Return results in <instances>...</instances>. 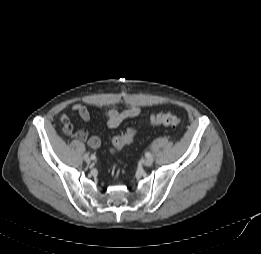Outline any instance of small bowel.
Instances as JSON below:
<instances>
[{"label": "small bowel", "instance_id": "1", "mask_svg": "<svg viewBox=\"0 0 261 254\" xmlns=\"http://www.w3.org/2000/svg\"><path fill=\"white\" fill-rule=\"evenodd\" d=\"M71 114L78 115L83 121L88 122L91 118V113L86 105L76 103L71 107ZM106 124L109 128L118 127L124 120L135 118L141 114V108L132 106L125 110L118 111L114 108L105 110ZM62 130L65 135L76 138L77 140L87 142L90 148L98 149L101 145V140L98 136H89L84 129L74 130L68 114L61 115Z\"/></svg>", "mask_w": 261, "mask_h": 254}]
</instances>
